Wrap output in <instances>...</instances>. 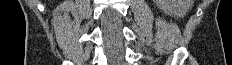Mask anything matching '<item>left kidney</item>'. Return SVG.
<instances>
[{
  "instance_id": "5707ae66",
  "label": "left kidney",
  "mask_w": 232,
  "mask_h": 65,
  "mask_svg": "<svg viewBox=\"0 0 232 65\" xmlns=\"http://www.w3.org/2000/svg\"><path fill=\"white\" fill-rule=\"evenodd\" d=\"M157 7L169 16L183 17L192 6V0H154Z\"/></svg>"
}]
</instances>
